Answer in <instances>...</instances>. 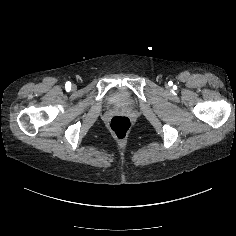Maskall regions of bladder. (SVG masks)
<instances>
[{"instance_id": "31cf9c89", "label": "bladder", "mask_w": 236, "mask_h": 236, "mask_svg": "<svg viewBox=\"0 0 236 236\" xmlns=\"http://www.w3.org/2000/svg\"><path fill=\"white\" fill-rule=\"evenodd\" d=\"M130 101V96L126 90H118L117 93L113 96V102L117 105H125Z\"/></svg>"}]
</instances>
